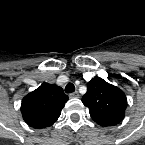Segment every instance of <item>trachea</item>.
<instances>
[{"label":"trachea","instance_id":"1","mask_svg":"<svg viewBox=\"0 0 145 145\" xmlns=\"http://www.w3.org/2000/svg\"><path fill=\"white\" fill-rule=\"evenodd\" d=\"M75 91V86L72 83H68L65 87V92L66 93H72Z\"/></svg>","mask_w":145,"mask_h":145}]
</instances>
